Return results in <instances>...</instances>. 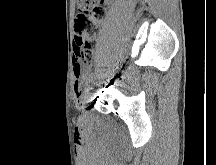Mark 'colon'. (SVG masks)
<instances>
[{
  "mask_svg": "<svg viewBox=\"0 0 216 165\" xmlns=\"http://www.w3.org/2000/svg\"><path fill=\"white\" fill-rule=\"evenodd\" d=\"M108 0H78L74 25L75 60L89 65L94 58V37L107 12Z\"/></svg>",
  "mask_w": 216,
  "mask_h": 165,
  "instance_id": "colon-1",
  "label": "colon"
}]
</instances>
